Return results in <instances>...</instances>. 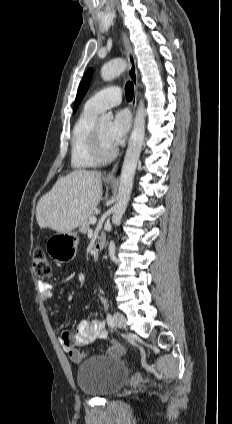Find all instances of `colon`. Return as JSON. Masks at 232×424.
Wrapping results in <instances>:
<instances>
[{
    "mask_svg": "<svg viewBox=\"0 0 232 424\" xmlns=\"http://www.w3.org/2000/svg\"><path fill=\"white\" fill-rule=\"evenodd\" d=\"M33 270L34 274L39 278L48 279L52 276V266L43 249L38 248L33 253ZM108 343L111 344L118 353L125 352L124 347L126 345L124 344L123 347L121 345L122 342H119L116 338L109 337Z\"/></svg>",
    "mask_w": 232,
    "mask_h": 424,
    "instance_id": "5ec220e1",
    "label": "colon"
}]
</instances>
